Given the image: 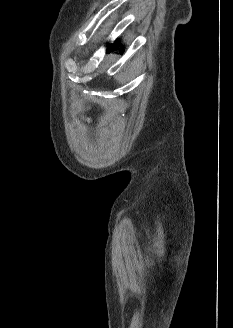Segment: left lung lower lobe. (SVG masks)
<instances>
[{"label":"left lung lower lobe","instance_id":"obj_1","mask_svg":"<svg viewBox=\"0 0 233 328\" xmlns=\"http://www.w3.org/2000/svg\"><path fill=\"white\" fill-rule=\"evenodd\" d=\"M112 46H113V45L110 44V45L108 46L107 50H108V51H112V49H113ZM114 46H117V47H118V46H119V42L115 43Z\"/></svg>","mask_w":233,"mask_h":328}]
</instances>
